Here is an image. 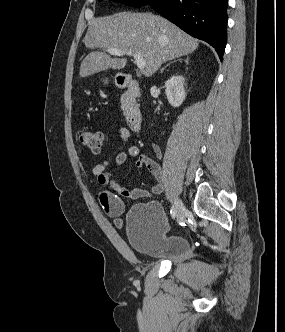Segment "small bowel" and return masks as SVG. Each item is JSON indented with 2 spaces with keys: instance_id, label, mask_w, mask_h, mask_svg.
<instances>
[{
  "instance_id": "small-bowel-1",
  "label": "small bowel",
  "mask_w": 285,
  "mask_h": 332,
  "mask_svg": "<svg viewBox=\"0 0 285 332\" xmlns=\"http://www.w3.org/2000/svg\"><path fill=\"white\" fill-rule=\"evenodd\" d=\"M118 134L121 142L124 144L128 142L131 136L130 130L124 126L119 127ZM128 157H137L136 168L141 169L146 167L150 174L154 176L156 183L150 189L132 188L129 185H121L112 177V169L110 168V161L108 159L97 163L92 169L93 176L101 186L97 193L101 206L106 214L113 218L114 224L118 228L123 226L121 215L125 210V205L121 197L138 200L160 194L163 191L162 169L158 162L146 154H140L138 146L130 145L126 151H120L116 154V165H123ZM105 186H109L111 190L105 189Z\"/></svg>"
}]
</instances>
